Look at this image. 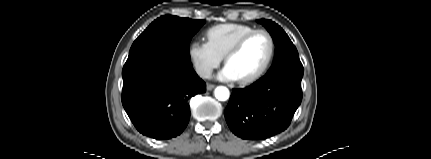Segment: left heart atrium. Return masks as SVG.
<instances>
[{"instance_id": "39dd6f15", "label": "left heart atrium", "mask_w": 431, "mask_h": 159, "mask_svg": "<svg viewBox=\"0 0 431 159\" xmlns=\"http://www.w3.org/2000/svg\"><path fill=\"white\" fill-rule=\"evenodd\" d=\"M218 78L223 81H236L238 78L228 65H225L218 73Z\"/></svg>"}]
</instances>
